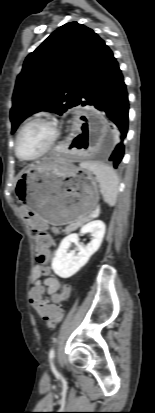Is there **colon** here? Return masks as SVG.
<instances>
[{
  "label": "colon",
  "instance_id": "colon-1",
  "mask_svg": "<svg viewBox=\"0 0 155 413\" xmlns=\"http://www.w3.org/2000/svg\"><path fill=\"white\" fill-rule=\"evenodd\" d=\"M36 234V260L38 263L44 264L48 260V252L46 249L47 237L46 234L41 231H37ZM39 272L44 276H49L50 267L48 265H41L39 267ZM61 287L64 289L63 292L55 295L52 298L51 303H49L44 296L37 293H32L29 297L31 305L38 311L43 321L48 326H53L61 322L63 319L64 313L62 307L60 306V302L68 298L70 284L69 282L64 281L62 282Z\"/></svg>",
  "mask_w": 155,
  "mask_h": 413
}]
</instances>
